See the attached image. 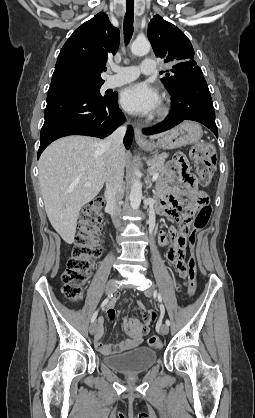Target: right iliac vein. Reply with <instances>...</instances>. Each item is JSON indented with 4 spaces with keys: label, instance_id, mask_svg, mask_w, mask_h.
Wrapping results in <instances>:
<instances>
[{
    "label": "right iliac vein",
    "instance_id": "obj_1",
    "mask_svg": "<svg viewBox=\"0 0 255 418\" xmlns=\"http://www.w3.org/2000/svg\"><path fill=\"white\" fill-rule=\"evenodd\" d=\"M115 288H116V280L115 279L109 280L108 283L106 284V293L112 294L115 291ZM96 329H97V323L93 322L89 327L90 334L93 335Z\"/></svg>",
    "mask_w": 255,
    "mask_h": 418
}]
</instances>
